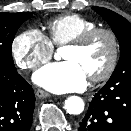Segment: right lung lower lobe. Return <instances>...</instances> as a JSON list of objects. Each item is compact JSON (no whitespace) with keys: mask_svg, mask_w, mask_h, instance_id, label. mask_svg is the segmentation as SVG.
I'll return each instance as SVG.
<instances>
[{"mask_svg":"<svg viewBox=\"0 0 131 131\" xmlns=\"http://www.w3.org/2000/svg\"><path fill=\"white\" fill-rule=\"evenodd\" d=\"M34 107L32 86L15 67L0 65V131H29Z\"/></svg>","mask_w":131,"mask_h":131,"instance_id":"1","label":"right lung lower lobe"}]
</instances>
